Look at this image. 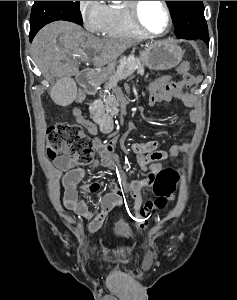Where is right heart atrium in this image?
Returning <instances> with one entry per match:
<instances>
[{
    "mask_svg": "<svg viewBox=\"0 0 237 300\" xmlns=\"http://www.w3.org/2000/svg\"><path fill=\"white\" fill-rule=\"evenodd\" d=\"M78 8L85 28L103 34L108 28V9L103 1H78Z\"/></svg>",
    "mask_w": 237,
    "mask_h": 300,
    "instance_id": "1",
    "label": "right heart atrium"
}]
</instances>
